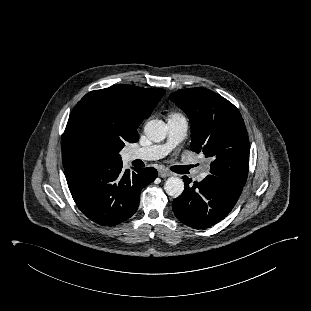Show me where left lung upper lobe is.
<instances>
[{"label": "left lung upper lobe", "mask_w": 311, "mask_h": 311, "mask_svg": "<svg viewBox=\"0 0 311 311\" xmlns=\"http://www.w3.org/2000/svg\"><path fill=\"white\" fill-rule=\"evenodd\" d=\"M191 121V150L212 159L210 173L244 187L249 168V139L238 109L206 88L169 96Z\"/></svg>", "instance_id": "5c2ea615"}]
</instances>
